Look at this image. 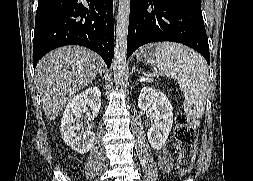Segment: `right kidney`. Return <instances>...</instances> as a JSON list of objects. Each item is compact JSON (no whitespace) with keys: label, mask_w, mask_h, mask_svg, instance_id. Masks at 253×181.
Segmentation results:
<instances>
[{"label":"right kidney","mask_w":253,"mask_h":181,"mask_svg":"<svg viewBox=\"0 0 253 181\" xmlns=\"http://www.w3.org/2000/svg\"><path fill=\"white\" fill-rule=\"evenodd\" d=\"M88 106L91 113L88 112ZM101 107V92L98 87H90L69 100L61 119V136L75 152L85 154L92 148L95 134L93 120ZM87 122H82L83 116ZM89 122H92L90 124Z\"/></svg>","instance_id":"right-kidney-1"}]
</instances>
